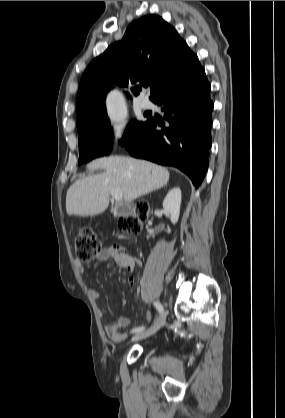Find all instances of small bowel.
<instances>
[{
	"mask_svg": "<svg viewBox=\"0 0 285 418\" xmlns=\"http://www.w3.org/2000/svg\"><path fill=\"white\" fill-rule=\"evenodd\" d=\"M96 259L104 262H112L116 266L122 267L128 275H131L134 271L135 264H140V260L137 258L124 259L121 256L120 251L115 247L101 248L97 253ZM75 266L79 273H84L85 267L82 264L76 263ZM127 281L129 284H133V279L130 276ZM90 292L94 297H98L96 288L90 287ZM128 324L129 320L124 315H120L116 321L105 319L103 322L107 336L115 343H120L125 339V329Z\"/></svg>",
	"mask_w": 285,
	"mask_h": 418,
	"instance_id": "small-bowel-1",
	"label": "small bowel"
}]
</instances>
